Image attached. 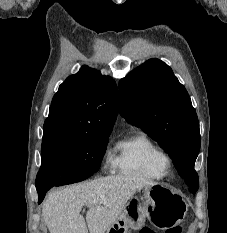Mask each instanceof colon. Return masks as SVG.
I'll return each instance as SVG.
<instances>
[{
  "mask_svg": "<svg viewBox=\"0 0 227 233\" xmlns=\"http://www.w3.org/2000/svg\"><path fill=\"white\" fill-rule=\"evenodd\" d=\"M139 233H161L160 231L156 230L152 227H144L142 228ZM165 233H182L181 227H174L165 231Z\"/></svg>",
  "mask_w": 227,
  "mask_h": 233,
  "instance_id": "obj_1",
  "label": "colon"
}]
</instances>
